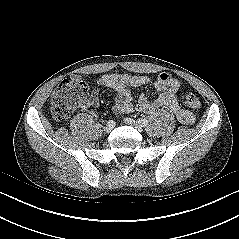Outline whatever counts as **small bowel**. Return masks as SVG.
I'll return each mask as SVG.
<instances>
[{
	"label": "small bowel",
	"instance_id": "small-bowel-1",
	"mask_svg": "<svg viewBox=\"0 0 239 239\" xmlns=\"http://www.w3.org/2000/svg\"><path fill=\"white\" fill-rule=\"evenodd\" d=\"M150 85L159 94L150 101L145 94H141L135 102L131 95L132 88ZM181 82L169 73H161L156 79L151 80L146 76L109 73L101 75L97 80V87L91 92L85 102L86 107H95L99 104V88L109 87L116 92L114 111L116 113H130L134 110L146 114L154 113L159 109H166L172 113L179 122L190 125L195 121V116L189 110L184 109L178 99Z\"/></svg>",
	"mask_w": 239,
	"mask_h": 239
}]
</instances>
